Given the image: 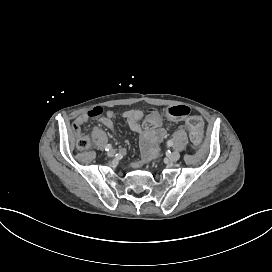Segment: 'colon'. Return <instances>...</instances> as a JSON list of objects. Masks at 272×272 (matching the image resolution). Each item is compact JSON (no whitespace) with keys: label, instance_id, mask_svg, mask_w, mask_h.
Here are the masks:
<instances>
[{"label":"colon","instance_id":"obj_1","mask_svg":"<svg viewBox=\"0 0 272 272\" xmlns=\"http://www.w3.org/2000/svg\"><path fill=\"white\" fill-rule=\"evenodd\" d=\"M164 113L174 119L186 118L189 114V107L183 104H177L173 106H164ZM105 113V107L95 106L87 112L88 118H98ZM157 111L151 110L150 115L156 116ZM188 129L190 131L191 141L195 144L200 143L202 139V120L199 117H192L188 121ZM81 122L77 121L73 125L75 131H79ZM89 144V137L86 134H82L77 142L78 147L85 148Z\"/></svg>","mask_w":272,"mask_h":272}]
</instances>
